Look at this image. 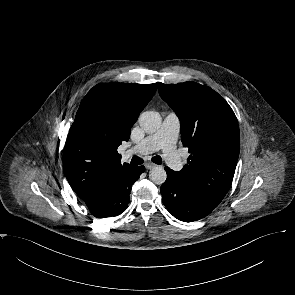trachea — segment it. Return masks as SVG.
I'll use <instances>...</instances> for the list:
<instances>
[{
  "instance_id": "trachea-1",
  "label": "trachea",
  "mask_w": 295,
  "mask_h": 295,
  "mask_svg": "<svg viewBox=\"0 0 295 295\" xmlns=\"http://www.w3.org/2000/svg\"><path fill=\"white\" fill-rule=\"evenodd\" d=\"M144 161L138 157V156H133L131 159L130 164L132 166H137V165H141ZM152 162L156 163V164H161L162 163V158L160 156H155L152 158Z\"/></svg>"
}]
</instances>
